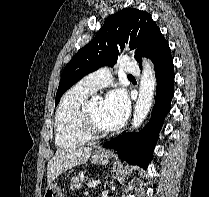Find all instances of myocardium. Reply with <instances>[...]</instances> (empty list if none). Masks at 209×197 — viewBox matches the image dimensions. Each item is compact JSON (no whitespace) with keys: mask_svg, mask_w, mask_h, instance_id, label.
<instances>
[{"mask_svg":"<svg viewBox=\"0 0 209 197\" xmlns=\"http://www.w3.org/2000/svg\"><path fill=\"white\" fill-rule=\"evenodd\" d=\"M89 101H86L79 112L78 129L88 140L103 138L111 133V129L100 130L95 127L89 113Z\"/></svg>","mask_w":209,"mask_h":197,"instance_id":"f54148a6","label":"myocardium"}]
</instances>
